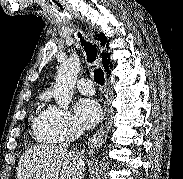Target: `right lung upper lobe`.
Listing matches in <instances>:
<instances>
[{
  "label": "right lung upper lobe",
  "mask_w": 183,
  "mask_h": 179,
  "mask_svg": "<svg viewBox=\"0 0 183 179\" xmlns=\"http://www.w3.org/2000/svg\"><path fill=\"white\" fill-rule=\"evenodd\" d=\"M98 40H101L102 46H105L106 42H107V38L105 37V35L103 33H101L100 35H98ZM109 43V41L107 42ZM102 64L104 66V69L106 70V72H109V67H112V64L110 63V55L109 53H102Z\"/></svg>",
  "instance_id": "1"
}]
</instances>
